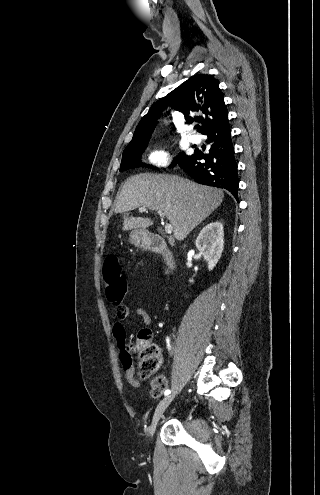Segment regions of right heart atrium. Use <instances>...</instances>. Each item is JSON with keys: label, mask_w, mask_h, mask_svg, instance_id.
<instances>
[{"label": "right heart atrium", "mask_w": 320, "mask_h": 495, "mask_svg": "<svg viewBox=\"0 0 320 495\" xmlns=\"http://www.w3.org/2000/svg\"><path fill=\"white\" fill-rule=\"evenodd\" d=\"M168 159L169 154L162 149H156L152 151L148 156V160L156 165H164L168 162Z\"/></svg>", "instance_id": "right-heart-atrium-1"}]
</instances>
